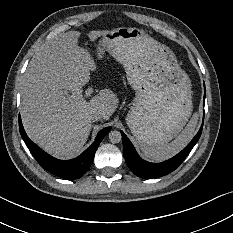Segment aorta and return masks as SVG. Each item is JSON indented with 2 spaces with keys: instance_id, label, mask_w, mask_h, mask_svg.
I'll list each match as a JSON object with an SVG mask.
<instances>
[{
  "instance_id": "1",
  "label": "aorta",
  "mask_w": 233,
  "mask_h": 233,
  "mask_svg": "<svg viewBox=\"0 0 233 233\" xmlns=\"http://www.w3.org/2000/svg\"><path fill=\"white\" fill-rule=\"evenodd\" d=\"M122 139L121 133L117 130L110 131L109 140L111 143L116 144L119 143Z\"/></svg>"
}]
</instances>
